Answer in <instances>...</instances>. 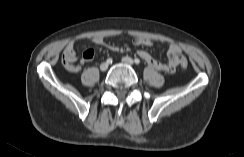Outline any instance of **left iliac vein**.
I'll use <instances>...</instances> for the list:
<instances>
[{"label":"left iliac vein","mask_w":244,"mask_h":157,"mask_svg":"<svg viewBox=\"0 0 244 157\" xmlns=\"http://www.w3.org/2000/svg\"><path fill=\"white\" fill-rule=\"evenodd\" d=\"M122 62H123L124 64L130 65V66H133V65H134V61H133V59L130 58V57H128V56L123 57V58H122Z\"/></svg>","instance_id":"left-iliac-vein-1"}]
</instances>
